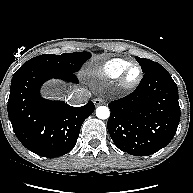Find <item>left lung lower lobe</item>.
Wrapping results in <instances>:
<instances>
[{
  "label": "left lung lower lobe",
  "instance_id": "1",
  "mask_svg": "<svg viewBox=\"0 0 193 193\" xmlns=\"http://www.w3.org/2000/svg\"><path fill=\"white\" fill-rule=\"evenodd\" d=\"M108 107L107 127L113 142L135 156H148L165 147L180 120L177 85L160 64L144 73L134 92Z\"/></svg>",
  "mask_w": 193,
  "mask_h": 193
}]
</instances>
